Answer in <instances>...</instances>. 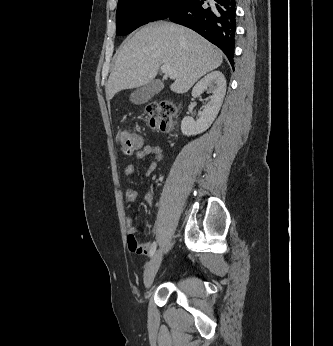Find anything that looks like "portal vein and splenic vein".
<instances>
[{"instance_id": "18ae733b", "label": "portal vein and splenic vein", "mask_w": 333, "mask_h": 346, "mask_svg": "<svg viewBox=\"0 0 333 346\" xmlns=\"http://www.w3.org/2000/svg\"><path fill=\"white\" fill-rule=\"evenodd\" d=\"M161 71L164 73V75L166 77H169L170 79H176L177 78L176 71L173 68L169 67V66L162 65L161 66Z\"/></svg>"}]
</instances>
